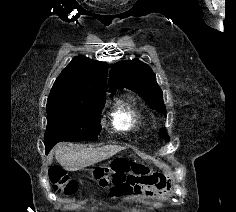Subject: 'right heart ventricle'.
Here are the masks:
<instances>
[{
  "mask_svg": "<svg viewBox=\"0 0 236 212\" xmlns=\"http://www.w3.org/2000/svg\"><path fill=\"white\" fill-rule=\"evenodd\" d=\"M111 116L114 128L119 131L130 130L139 120L136 106L127 97H122L117 101Z\"/></svg>",
  "mask_w": 236,
  "mask_h": 212,
  "instance_id": "obj_1",
  "label": "right heart ventricle"
}]
</instances>
